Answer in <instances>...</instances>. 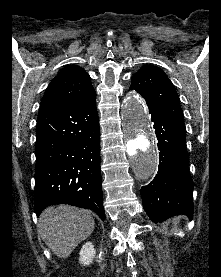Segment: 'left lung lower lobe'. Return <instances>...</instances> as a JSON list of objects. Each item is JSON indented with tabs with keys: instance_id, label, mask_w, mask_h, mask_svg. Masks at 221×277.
Wrapping results in <instances>:
<instances>
[{
	"instance_id": "left-lung-lower-lobe-1",
	"label": "left lung lower lobe",
	"mask_w": 221,
	"mask_h": 277,
	"mask_svg": "<svg viewBox=\"0 0 221 277\" xmlns=\"http://www.w3.org/2000/svg\"><path fill=\"white\" fill-rule=\"evenodd\" d=\"M158 140L159 170L140 190L143 208L154 222L184 214L193 219V181L188 170L186 131L175 125L156 106L147 103Z\"/></svg>"
}]
</instances>
